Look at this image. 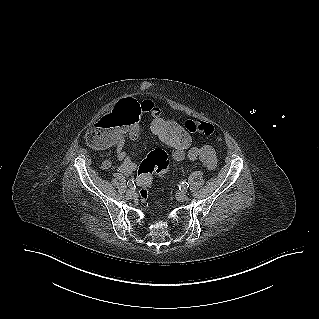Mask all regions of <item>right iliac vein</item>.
I'll use <instances>...</instances> for the list:
<instances>
[{
  "label": "right iliac vein",
  "mask_w": 319,
  "mask_h": 319,
  "mask_svg": "<svg viewBox=\"0 0 319 319\" xmlns=\"http://www.w3.org/2000/svg\"><path fill=\"white\" fill-rule=\"evenodd\" d=\"M135 196H136V191H135L133 188L129 189V190L126 192V197H127V198L132 199V198H134Z\"/></svg>",
  "instance_id": "1"
}]
</instances>
